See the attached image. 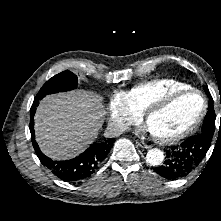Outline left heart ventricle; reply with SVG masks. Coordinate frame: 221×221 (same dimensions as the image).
Masks as SVG:
<instances>
[{
  "label": "left heart ventricle",
  "instance_id": "left-heart-ventricle-1",
  "mask_svg": "<svg viewBox=\"0 0 221 221\" xmlns=\"http://www.w3.org/2000/svg\"><path fill=\"white\" fill-rule=\"evenodd\" d=\"M201 107L202 99L199 95L187 94L152 115L146 125L152 133L163 136L173 135L190 124Z\"/></svg>",
  "mask_w": 221,
  "mask_h": 221
}]
</instances>
